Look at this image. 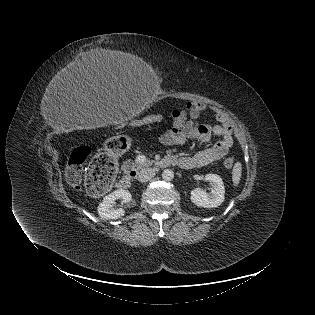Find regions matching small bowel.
<instances>
[{
	"mask_svg": "<svg viewBox=\"0 0 315 315\" xmlns=\"http://www.w3.org/2000/svg\"><path fill=\"white\" fill-rule=\"evenodd\" d=\"M207 111L205 104L200 102L188 103L182 110H174L169 114L172 126L168 127L159 137L161 143L174 146H182L188 140L196 139L207 143L213 136L220 137L210 147H207L193 155L167 157L175 160V164L184 169H193L209 165L221 160L227 155L233 145L232 128L226 116L220 111H214L218 121L217 125L199 124L197 119Z\"/></svg>",
	"mask_w": 315,
	"mask_h": 315,
	"instance_id": "1",
	"label": "small bowel"
}]
</instances>
